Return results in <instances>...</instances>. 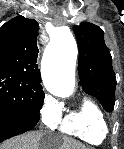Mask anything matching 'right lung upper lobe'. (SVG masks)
<instances>
[{"mask_svg": "<svg viewBox=\"0 0 124 149\" xmlns=\"http://www.w3.org/2000/svg\"><path fill=\"white\" fill-rule=\"evenodd\" d=\"M38 30L34 19L23 16H16L0 28V69L18 73L33 86L42 87L37 65Z\"/></svg>", "mask_w": 124, "mask_h": 149, "instance_id": "right-lung-upper-lobe-1", "label": "right lung upper lobe"}]
</instances>
